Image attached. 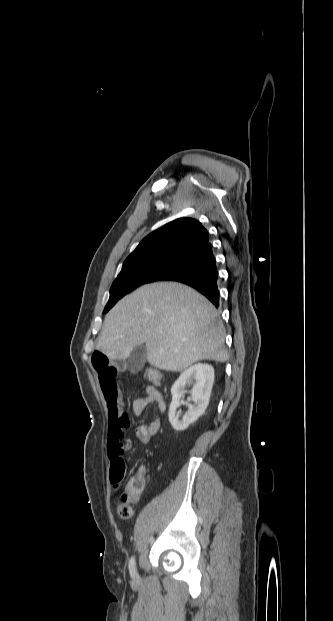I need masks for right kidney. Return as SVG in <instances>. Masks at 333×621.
Returning a JSON list of instances; mask_svg holds the SVG:
<instances>
[{"label": "right kidney", "instance_id": "right-kidney-1", "mask_svg": "<svg viewBox=\"0 0 333 621\" xmlns=\"http://www.w3.org/2000/svg\"><path fill=\"white\" fill-rule=\"evenodd\" d=\"M214 382V368L209 364L198 363L186 369L171 388L172 401L169 407V422L176 431L185 430L201 416L208 404ZM193 384L188 412L181 416L177 409L185 394V386Z\"/></svg>", "mask_w": 333, "mask_h": 621}]
</instances>
